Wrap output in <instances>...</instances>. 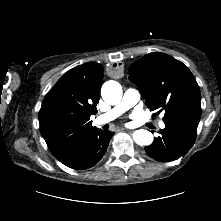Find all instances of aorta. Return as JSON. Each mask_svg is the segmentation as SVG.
Wrapping results in <instances>:
<instances>
[{
  "mask_svg": "<svg viewBox=\"0 0 221 221\" xmlns=\"http://www.w3.org/2000/svg\"><path fill=\"white\" fill-rule=\"evenodd\" d=\"M101 95L106 103L116 105L122 99V87L116 81H107L102 86ZM133 139L136 144L140 146H147L153 142V135L147 130L139 129L134 131Z\"/></svg>",
  "mask_w": 221,
  "mask_h": 221,
  "instance_id": "762f6f07",
  "label": "aorta"
}]
</instances>
